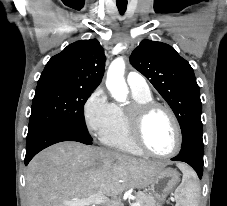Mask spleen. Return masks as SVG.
<instances>
[{"instance_id": "obj_1", "label": "spleen", "mask_w": 227, "mask_h": 206, "mask_svg": "<svg viewBox=\"0 0 227 206\" xmlns=\"http://www.w3.org/2000/svg\"><path fill=\"white\" fill-rule=\"evenodd\" d=\"M181 170L183 172V180L175 191V198L181 206H197L199 186L190 179L192 172L186 168H181Z\"/></svg>"}]
</instances>
